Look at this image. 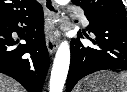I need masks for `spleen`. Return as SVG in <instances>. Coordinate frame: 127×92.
I'll use <instances>...</instances> for the list:
<instances>
[{"label": "spleen", "instance_id": "obj_1", "mask_svg": "<svg viewBox=\"0 0 127 92\" xmlns=\"http://www.w3.org/2000/svg\"><path fill=\"white\" fill-rule=\"evenodd\" d=\"M119 77L121 81L126 84V87L122 90V92H127V72H121Z\"/></svg>", "mask_w": 127, "mask_h": 92}]
</instances>
